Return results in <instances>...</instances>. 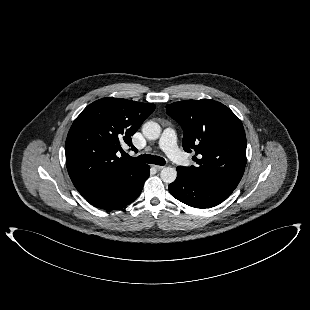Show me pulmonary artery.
<instances>
[{
    "label": "pulmonary artery",
    "mask_w": 310,
    "mask_h": 310,
    "mask_svg": "<svg viewBox=\"0 0 310 310\" xmlns=\"http://www.w3.org/2000/svg\"><path fill=\"white\" fill-rule=\"evenodd\" d=\"M159 147L176 163L183 161V153L177 147L176 134L172 128H166L160 138Z\"/></svg>",
    "instance_id": "pulmonary-artery-1"
}]
</instances>
